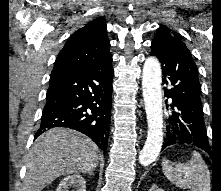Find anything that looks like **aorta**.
<instances>
[{"label": "aorta", "instance_id": "obj_1", "mask_svg": "<svg viewBox=\"0 0 221 191\" xmlns=\"http://www.w3.org/2000/svg\"><path fill=\"white\" fill-rule=\"evenodd\" d=\"M161 66L154 56L148 57L143 66L142 89L147 115V139L139 155V163L147 166L158 157L163 143V110Z\"/></svg>", "mask_w": 221, "mask_h": 191}]
</instances>
